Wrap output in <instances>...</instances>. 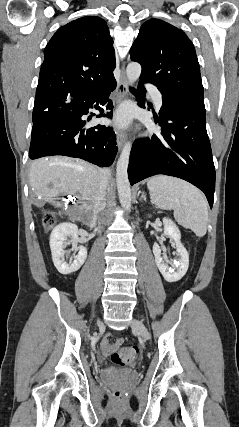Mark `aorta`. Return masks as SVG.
<instances>
[{"mask_svg": "<svg viewBox=\"0 0 239 427\" xmlns=\"http://www.w3.org/2000/svg\"><path fill=\"white\" fill-rule=\"evenodd\" d=\"M141 74V65L137 62H132L128 64L126 69V75L128 83L133 85L136 82ZM131 143L126 142L116 166V183L118 189V196L121 206L125 210H129L131 207V189L128 179V164L130 158Z\"/></svg>", "mask_w": 239, "mask_h": 427, "instance_id": "obj_1", "label": "aorta"}]
</instances>
